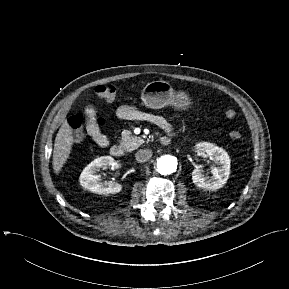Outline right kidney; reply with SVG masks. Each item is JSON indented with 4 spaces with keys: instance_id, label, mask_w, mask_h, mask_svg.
Segmentation results:
<instances>
[{
    "instance_id": "1",
    "label": "right kidney",
    "mask_w": 289,
    "mask_h": 289,
    "mask_svg": "<svg viewBox=\"0 0 289 289\" xmlns=\"http://www.w3.org/2000/svg\"><path fill=\"white\" fill-rule=\"evenodd\" d=\"M110 166L112 168L116 166V163L111 156H101L95 159L82 171L79 177L80 185L85 189L100 195L119 193L122 190V185L112 181L102 183L100 176L97 175L100 168L106 169Z\"/></svg>"
}]
</instances>
